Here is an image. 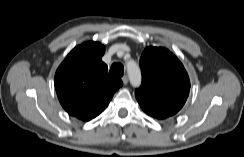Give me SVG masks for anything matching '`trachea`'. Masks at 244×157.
<instances>
[{"label": "trachea", "instance_id": "1", "mask_svg": "<svg viewBox=\"0 0 244 157\" xmlns=\"http://www.w3.org/2000/svg\"><path fill=\"white\" fill-rule=\"evenodd\" d=\"M110 74L121 77L124 74V66L121 63H114L110 68Z\"/></svg>", "mask_w": 244, "mask_h": 157}]
</instances>
